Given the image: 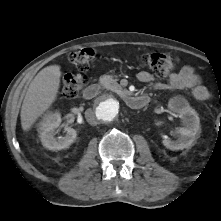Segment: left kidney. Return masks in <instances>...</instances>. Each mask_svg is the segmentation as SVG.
<instances>
[{
    "label": "left kidney",
    "mask_w": 221,
    "mask_h": 221,
    "mask_svg": "<svg viewBox=\"0 0 221 221\" xmlns=\"http://www.w3.org/2000/svg\"><path fill=\"white\" fill-rule=\"evenodd\" d=\"M168 107L177 113L181 118L183 126L177 129L179 138L176 141L164 139L163 145L170 150H182L190 148L196 137L200 134V119L197 112L190 107L189 103L183 97H174L170 99Z\"/></svg>",
    "instance_id": "5707ae66"
}]
</instances>
